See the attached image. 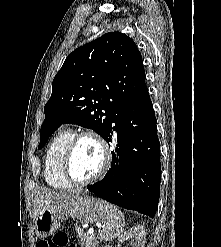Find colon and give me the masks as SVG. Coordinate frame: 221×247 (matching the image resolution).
Here are the masks:
<instances>
[{"instance_id": "1", "label": "colon", "mask_w": 221, "mask_h": 247, "mask_svg": "<svg viewBox=\"0 0 221 247\" xmlns=\"http://www.w3.org/2000/svg\"><path fill=\"white\" fill-rule=\"evenodd\" d=\"M67 236L65 234H56L54 237L39 243L40 247H66Z\"/></svg>"}]
</instances>
